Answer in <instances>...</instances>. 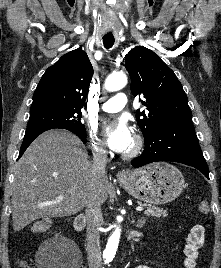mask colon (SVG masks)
Wrapping results in <instances>:
<instances>
[{
  "mask_svg": "<svg viewBox=\"0 0 221 268\" xmlns=\"http://www.w3.org/2000/svg\"><path fill=\"white\" fill-rule=\"evenodd\" d=\"M199 210L203 214H207L210 211V206L207 201H201L199 204ZM51 227V221L49 219H41L34 223L32 231L34 233H40L48 230ZM19 268H30L23 260L18 261Z\"/></svg>",
  "mask_w": 221,
  "mask_h": 268,
  "instance_id": "5ec220e1",
  "label": "colon"
}]
</instances>
